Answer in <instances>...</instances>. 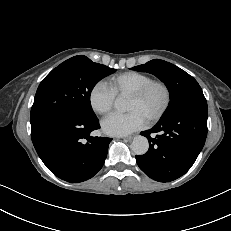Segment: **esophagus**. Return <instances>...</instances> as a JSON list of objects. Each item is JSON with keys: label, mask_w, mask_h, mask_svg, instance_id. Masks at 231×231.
Listing matches in <instances>:
<instances>
[{"label": "esophagus", "mask_w": 231, "mask_h": 231, "mask_svg": "<svg viewBox=\"0 0 231 231\" xmlns=\"http://www.w3.org/2000/svg\"><path fill=\"white\" fill-rule=\"evenodd\" d=\"M121 139H123L125 141H130L132 139V137L131 136L121 137Z\"/></svg>", "instance_id": "34e87169"}]
</instances>
